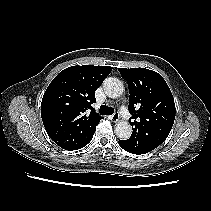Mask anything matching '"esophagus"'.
<instances>
[{
  "label": "esophagus",
  "instance_id": "1",
  "mask_svg": "<svg viewBox=\"0 0 211 211\" xmlns=\"http://www.w3.org/2000/svg\"><path fill=\"white\" fill-rule=\"evenodd\" d=\"M119 118H120V115H119L118 112H115V113L111 116V120H112L113 122H117V121L119 120Z\"/></svg>",
  "mask_w": 211,
  "mask_h": 211
}]
</instances>
